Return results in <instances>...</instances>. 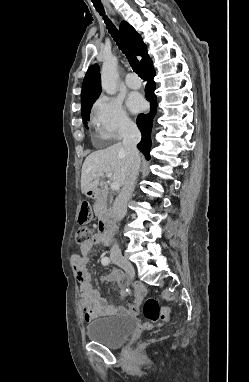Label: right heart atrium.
I'll return each instance as SVG.
<instances>
[{"label": "right heart atrium", "instance_id": "1", "mask_svg": "<svg viewBox=\"0 0 249 382\" xmlns=\"http://www.w3.org/2000/svg\"><path fill=\"white\" fill-rule=\"evenodd\" d=\"M92 122L99 134L109 140L120 139L134 128L122 102L109 96H101L95 102Z\"/></svg>", "mask_w": 249, "mask_h": 382}]
</instances>
